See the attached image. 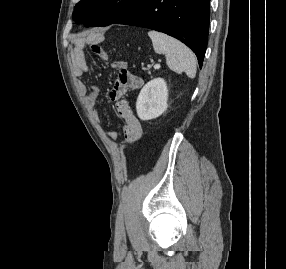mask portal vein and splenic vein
I'll return each mask as SVG.
<instances>
[{"mask_svg":"<svg viewBox=\"0 0 286 269\" xmlns=\"http://www.w3.org/2000/svg\"><path fill=\"white\" fill-rule=\"evenodd\" d=\"M160 67H161L160 64H155V65H154V68H155V69H159Z\"/></svg>","mask_w":286,"mask_h":269,"instance_id":"portal-vein-and-splenic-vein-1","label":"portal vein and splenic vein"}]
</instances>
